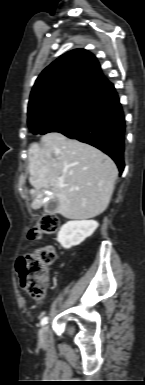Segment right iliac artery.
<instances>
[{"label": "right iliac artery", "instance_id": "82829eb1", "mask_svg": "<svg viewBox=\"0 0 145 385\" xmlns=\"http://www.w3.org/2000/svg\"><path fill=\"white\" fill-rule=\"evenodd\" d=\"M47 322H48V317H44L41 320V325L43 326V325L47 324Z\"/></svg>", "mask_w": 145, "mask_h": 385}]
</instances>
